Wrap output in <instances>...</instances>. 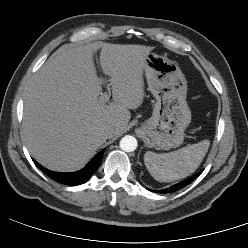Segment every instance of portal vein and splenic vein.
Returning a JSON list of instances; mask_svg holds the SVG:
<instances>
[{"label":"portal vein and splenic vein","instance_id":"1","mask_svg":"<svg viewBox=\"0 0 248 248\" xmlns=\"http://www.w3.org/2000/svg\"><path fill=\"white\" fill-rule=\"evenodd\" d=\"M110 96H111V93H110V91H109L108 93H104V94L101 96V98H102V100H103L104 102H107V101L109 100Z\"/></svg>","mask_w":248,"mask_h":248}]
</instances>
